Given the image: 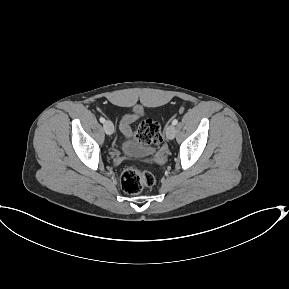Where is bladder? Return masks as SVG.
I'll use <instances>...</instances> for the list:
<instances>
[{
    "instance_id": "bladder-1",
    "label": "bladder",
    "mask_w": 289,
    "mask_h": 289,
    "mask_svg": "<svg viewBox=\"0 0 289 289\" xmlns=\"http://www.w3.org/2000/svg\"><path fill=\"white\" fill-rule=\"evenodd\" d=\"M123 150L124 152H126L129 155L132 156H138V157H142V156H147L150 155L152 153V150L145 147L144 145L135 142V141H128L123 145Z\"/></svg>"
}]
</instances>
